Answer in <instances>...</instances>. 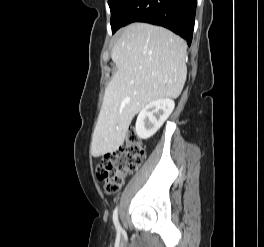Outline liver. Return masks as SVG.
Wrapping results in <instances>:
<instances>
[{
    "label": "liver",
    "instance_id": "1",
    "mask_svg": "<svg viewBox=\"0 0 264 247\" xmlns=\"http://www.w3.org/2000/svg\"><path fill=\"white\" fill-rule=\"evenodd\" d=\"M186 49L179 36L147 23L130 24L119 33L111 52L117 72L105 89L92 137L94 157L123 144L133 117L145 105L181 94Z\"/></svg>",
    "mask_w": 264,
    "mask_h": 247
}]
</instances>
